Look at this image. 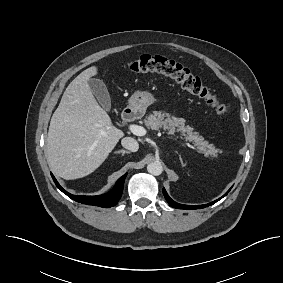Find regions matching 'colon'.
<instances>
[{"label": "colon", "instance_id": "5ec220e1", "mask_svg": "<svg viewBox=\"0 0 283 283\" xmlns=\"http://www.w3.org/2000/svg\"><path fill=\"white\" fill-rule=\"evenodd\" d=\"M130 69L135 73H158L167 76L183 89L205 101L218 115L225 116L230 112L228 103L223 102L198 76L174 60L143 55L131 63Z\"/></svg>", "mask_w": 283, "mask_h": 283}]
</instances>
